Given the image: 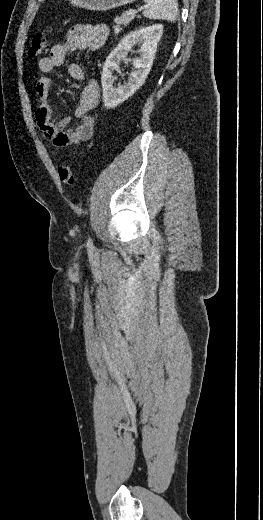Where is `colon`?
<instances>
[{
	"instance_id": "colon-1",
	"label": "colon",
	"mask_w": 263,
	"mask_h": 520,
	"mask_svg": "<svg viewBox=\"0 0 263 520\" xmlns=\"http://www.w3.org/2000/svg\"><path fill=\"white\" fill-rule=\"evenodd\" d=\"M49 47L48 36L45 32L36 33L30 43L28 55L31 58L43 56ZM59 179L66 185H73L75 182V174L73 168L67 163H60L57 166Z\"/></svg>"
}]
</instances>
